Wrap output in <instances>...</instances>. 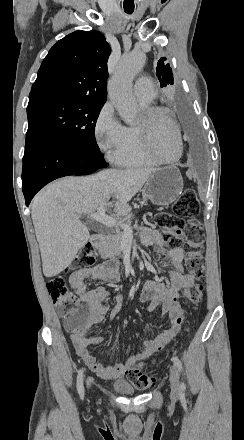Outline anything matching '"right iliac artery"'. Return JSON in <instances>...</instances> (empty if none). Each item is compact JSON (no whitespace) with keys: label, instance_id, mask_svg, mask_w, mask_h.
<instances>
[{"label":"right iliac artery","instance_id":"obj_1","mask_svg":"<svg viewBox=\"0 0 244 440\" xmlns=\"http://www.w3.org/2000/svg\"><path fill=\"white\" fill-rule=\"evenodd\" d=\"M83 372L84 369H80L77 376V391L80 394L81 399H83L84 396Z\"/></svg>","mask_w":244,"mask_h":440}]
</instances>
